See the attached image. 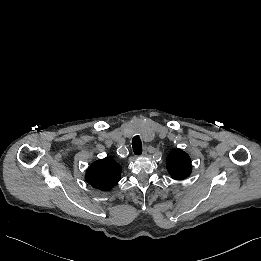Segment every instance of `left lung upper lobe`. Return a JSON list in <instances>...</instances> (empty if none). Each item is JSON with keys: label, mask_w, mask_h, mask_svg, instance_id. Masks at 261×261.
Here are the masks:
<instances>
[{"label": "left lung upper lobe", "mask_w": 261, "mask_h": 261, "mask_svg": "<svg viewBox=\"0 0 261 261\" xmlns=\"http://www.w3.org/2000/svg\"><path fill=\"white\" fill-rule=\"evenodd\" d=\"M166 167L172 178L184 179L191 173V159L184 151L175 149L167 156Z\"/></svg>", "instance_id": "5c2ea615"}]
</instances>
